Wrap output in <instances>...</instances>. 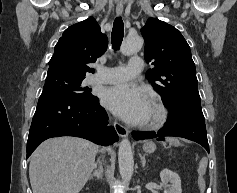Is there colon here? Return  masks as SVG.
Instances as JSON below:
<instances>
[{"label":"colon","instance_id":"5ec220e1","mask_svg":"<svg viewBox=\"0 0 237 193\" xmlns=\"http://www.w3.org/2000/svg\"><path fill=\"white\" fill-rule=\"evenodd\" d=\"M166 142L169 146H174V147L180 146L179 141L174 138L167 139ZM207 165H208V160L205 157H202L198 160L197 172H198L200 190H204L205 188V173H206Z\"/></svg>","mask_w":237,"mask_h":193}]
</instances>
